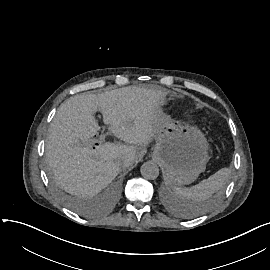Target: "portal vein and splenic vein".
<instances>
[{
  "instance_id": "1",
  "label": "portal vein and splenic vein",
  "mask_w": 270,
  "mask_h": 270,
  "mask_svg": "<svg viewBox=\"0 0 270 270\" xmlns=\"http://www.w3.org/2000/svg\"><path fill=\"white\" fill-rule=\"evenodd\" d=\"M98 143L100 145H103L105 143V137L104 136H100L99 139H98Z\"/></svg>"
}]
</instances>
